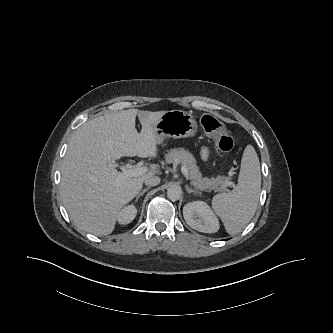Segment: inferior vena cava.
Returning a JSON list of instances; mask_svg holds the SVG:
<instances>
[{
	"label": "inferior vena cava",
	"mask_w": 333,
	"mask_h": 333,
	"mask_svg": "<svg viewBox=\"0 0 333 333\" xmlns=\"http://www.w3.org/2000/svg\"><path fill=\"white\" fill-rule=\"evenodd\" d=\"M160 183V177L158 176H151L145 179V184L147 186H156Z\"/></svg>",
	"instance_id": "inferior-vena-cava-1"
}]
</instances>
